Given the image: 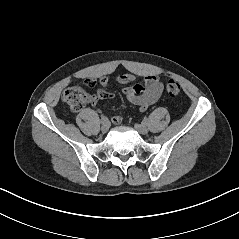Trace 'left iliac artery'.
<instances>
[{
  "label": "left iliac artery",
  "mask_w": 239,
  "mask_h": 239,
  "mask_svg": "<svg viewBox=\"0 0 239 239\" xmlns=\"http://www.w3.org/2000/svg\"><path fill=\"white\" fill-rule=\"evenodd\" d=\"M143 123H144V124H148V119L145 118V119L143 120Z\"/></svg>",
  "instance_id": "obj_1"
}]
</instances>
